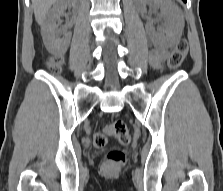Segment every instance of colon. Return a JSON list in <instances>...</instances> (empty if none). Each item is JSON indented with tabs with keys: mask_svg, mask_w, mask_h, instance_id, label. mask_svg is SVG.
Masks as SVG:
<instances>
[{
	"mask_svg": "<svg viewBox=\"0 0 223 191\" xmlns=\"http://www.w3.org/2000/svg\"><path fill=\"white\" fill-rule=\"evenodd\" d=\"M181 4L184 0H179ZM188 52V42L185 39H180L174 48L172 49L168 64L171 69H177L184 60ZM63 59L60 56H52L47 61L48 69L53 74L60 72ZM108 136H114L121 144H128L131 140L130 132L124 121H115L112 124L105 127L103 132L95 133L93 136V144L97 148H103L106 146ZM125 161V155L120 150L109 151L103 161V170L107 174H113L121 169Z\"/></svg>",
	"mask_w": 223,
	"mask_h": 191,
	"instance_id": "5ec220e1",
	"label": "colon"
}]
</instances>
